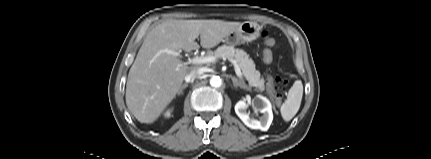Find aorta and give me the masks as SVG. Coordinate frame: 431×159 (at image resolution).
<instances>
[{"mask_svg": "<svg viewBox=\"0 0 431 159\" xmlns=\"http://www.w3.org/2000/svg\"><path fill=\"white\" fill-rule=\"evenodd\" d=\"M221 84H222V81H221V79L218 76L211 77V79H210V85L212 87L218 88V87L221 86Z\"/></svg>", "mask_w": 431, "mask_h": 159, "instance_id": "1", "label": "aorta"}]
</instances>
